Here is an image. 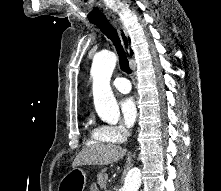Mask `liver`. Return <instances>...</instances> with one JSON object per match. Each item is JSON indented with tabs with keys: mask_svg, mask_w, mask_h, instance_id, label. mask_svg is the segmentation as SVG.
I'll list each match as a JSON object with an SVG mask.
<instances>
[{
	"mask_svg": "<svg viewBox=\"0 0 221 191\" xmlns=\"http://www.w3.org/2000/svg\"><path fill=\"white\" fill-rule=\"evenodd\" d=\"M127 150L113 144H95L84 148L74 159L73 168L82 165H108L126 155Z\"/></svg>",
	"mask_w": 221,
	"mask_h": 191,
	"instance_id": "liver-1",
	"label": "liver"
}]
</instances>
